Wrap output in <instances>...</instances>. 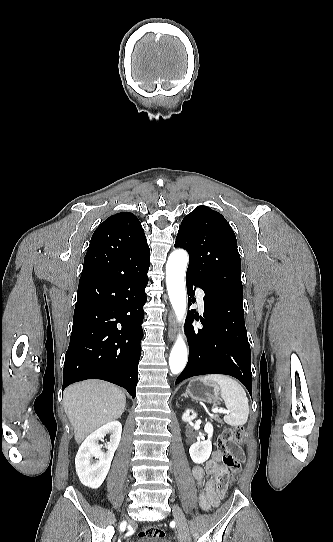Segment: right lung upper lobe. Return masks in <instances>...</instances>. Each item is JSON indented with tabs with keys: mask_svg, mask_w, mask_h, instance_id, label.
I'll return each mask as SVG.
<instances>
[{
	"mask_svg": "<svg viewBox=\"0 0 333 542\" xmlns=\"http://www.w3.org/2000/svg\"><path fill=\"white\" fill-rule=\"evenodd\" d=\"M127 246H147L146 236L138 218L130 212H120L107 218L95 230L89 252H106ZM82 271L81 276L88 275Z\"/></svg>",
	"mask_w": 333,
	"mask_h": 542,
	"instance_id": "obj_1",
	"label": "right lung upper lobe"
}]
</instances>
